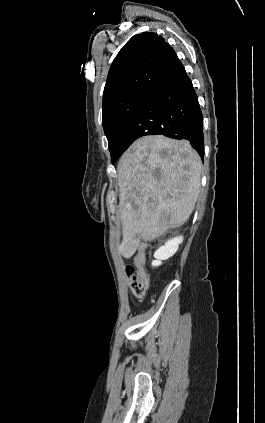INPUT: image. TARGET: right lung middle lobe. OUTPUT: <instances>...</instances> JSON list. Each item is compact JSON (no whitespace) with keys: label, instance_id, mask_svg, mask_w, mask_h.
Masks as SVG:
<instances>
[{"label":"right lung middle lobe","instance_id":"dd1d6c3e","mask_svg":"<svg viewBox=\"0 0 265 423\" xmlns=\"http://www.w3.org/2000/svg\"><path fill=\"white\" fill-rule=\"evenodd\" d=\"M150 90L132 92L110 104L103 110V128L108 139V147L114 164L122 154L118 149L121 133L132 116L141 106Z\"/></svg>","mask_w":265,"mask_h":423}]
</instances>
